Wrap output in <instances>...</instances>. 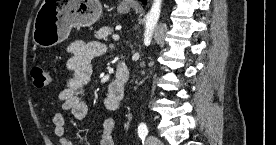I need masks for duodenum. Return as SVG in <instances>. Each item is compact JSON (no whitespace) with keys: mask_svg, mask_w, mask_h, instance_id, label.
<instances>
[{"mask_svg":"<svg viewBox=\"0 0 276 145\" xmlns=\"http://www.w3.org/2000/svg\"><path fill=\"white\" fill-rule=\"evenodd\" d=\"M129 76L130 72L126 62L123 59H119L116 64V78L114 80V86L117 91L124 93Z\"/></svg>","mask_w":276,"mask_h":145,"instance_id":"410a0bca","label":"duodenum"}]
</instances>
